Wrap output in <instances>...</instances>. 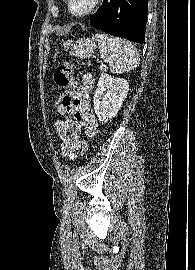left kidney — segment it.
I'll list each match as a JSON object with an SVG mask.
<instances>
[{
  "instance_id": "5707ae66",
  "label": "left kidney",
  "mask_w": 195,
  "mask_h": 270,
  "mask_svg": "<svg viewBox=\"0 0 195 270\" xmlns=\"http://www.w3.org/2000/svg\"><path fill=\"white\" fill-rule=\"evenodd\" d=\"M128 91L129 83L125 79L107 73L100 76L93 98L95 114L100 121L107 122L117 115Z\"/></svg>"
}]
</instances>
